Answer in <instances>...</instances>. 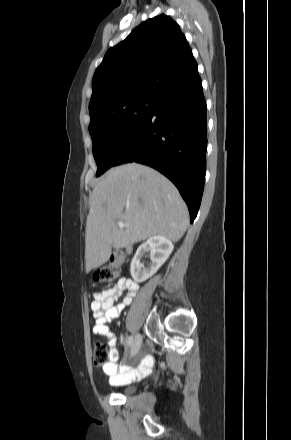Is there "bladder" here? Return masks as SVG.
Wrapping results in <instances>:
<instances>
[{"mask_svg":"<svg viewBox=\"0 0 291 440\" xmlns=\"http://www.w3.org/2000/svg\"><path fill=\"white\" fill-rule=\"evenodd\" d=\"M134 388L132 384H127L123 387V394L124 395H131L133 394Z\"/></svg>","mask_w":291,"mask_h":440,"instance_id":"obj_1","label":"bladder"}]
</instances>
